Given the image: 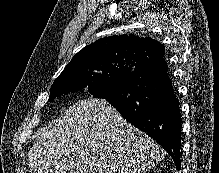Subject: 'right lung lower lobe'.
I'll return each instance as SVG.
<instances>
[{"label":"right lung lower lobe","instance_id":"1","mask_svg":"<svg viewBox=\"0 0 219 173\" xmlns=\"http://www.w3.org/2000/svg\"><path fill=\"white\" fill-rule=\"evenodd\" d=\"M105 99L129 123L156 140L180 169L182 118L165 61L139 64Z\"/></svg>","mask_w":219,"mask_h":173}]
</instances>
